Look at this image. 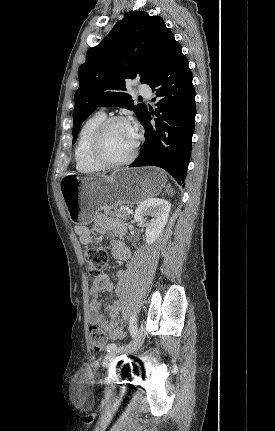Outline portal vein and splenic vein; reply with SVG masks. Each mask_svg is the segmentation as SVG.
Wrapping results in <instances>:
<instances>
[{
  "mask_svg": "<svg viewBox=\"0 0 275 431\" xmlns=\"http://www.w3.org/2000/svg\"><path fill=\"white\" fill-rule=\"evenodd\" d=\"M126 211H127V213H128V214H132V213H133V210H132V209H130V208H127V210H126Z\"/></svg>",
  "mask_w": 275,
  "mask_h": 431,
  "instance_id": "18ae733b",
  "label": "portal vein and splenic vein"
}]
</instances>
